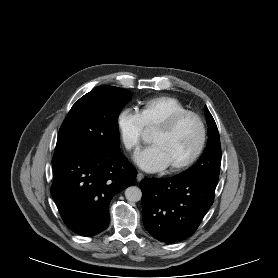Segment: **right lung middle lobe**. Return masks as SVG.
<instances>
[{
    "mask_svg": "<svg viewBox=\"0 0 278 278\" xmlns=\"http://www.w3.org/2000/svg\"><path fill=\"white\" fill-rule=\"evenodd\" d=\"M131 93L98 86L71 108L59 130L54 157L101 148H119L118 116Z\"/></svg>",
    "mask_w": 278,
    "mask_h": 278,
    "instance_id": "dd1d6c3e",
    "label": "right lung middle lobe"
}]
</instances>
